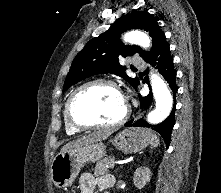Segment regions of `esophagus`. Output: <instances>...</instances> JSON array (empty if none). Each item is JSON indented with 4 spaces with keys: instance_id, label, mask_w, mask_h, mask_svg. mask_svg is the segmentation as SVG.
Returning a JSON list of instances; mask_svg holds the SVG:
<instances>
[{
    "instance_id": "obj_1",
    "label": "esophagus",
    "mask_w": 221,
    "mask_h": 193,
    "mask_svg": "<svg viewBox=\"0 0 221 193\" xmlns=\"http://www.w3.org/2000/svg\"><path fill=\"white\" fill-rule=\"evenodd\" d=\"M142 114H143V112H142V113H140V114L138 115V117H137V118H140V117L142 116Z\"/></svg>"
}]
</instances>
